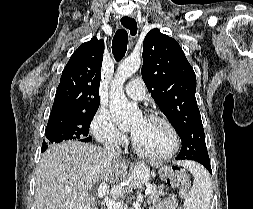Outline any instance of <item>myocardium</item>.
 <instances>
[{"mask_svg": "<svg viewBox=\"0 0 253 209\" xmlns=\"http://www.w3.org/2000/svg\"><path fill=\"white\" fill-rule=\"evenodd\" d=\"M145 117L163 122L169 128V130L172 134L173 145H172V148L167 153H165L163 155H152L150 153L145 152L138 145V143L136 142V140L133 137L132 146H133L134 151L139 156H141L147 160L154 161V162H164V161L171 159L177 153V151L179 150V147H180V136L178 134L177 129L175 128L173 123L167 117H165L164 115H161L159 113H148Z\"/></svg>", "mask_w": 253, "mask_h": 209, "instance_id": "obj_1", "label": "myocardium"}]
</instances>
